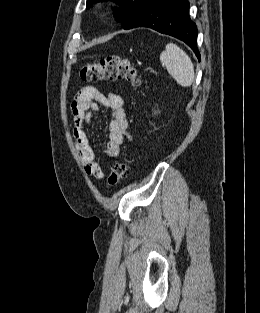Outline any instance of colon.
<instances>
[{"mask_svg": "<svg viewBox=\"0 0 260 313\" xmlns=\"http://www.w3.org/2000/svg\"><path fill=\"white\" fill-rule=\"evenodd\" d=\"M79 78L83 81H124L139 87L141 79L134 63L118 56L103 58L98 62L88 63L79 70ZM129 175V166L125 162H116L107 179L109 188L116 186Z\"/></svg>", "mask_w": 260, "mask_h": 313, "instance_id": "obj_1", "label": "colon"}]
</instances>
